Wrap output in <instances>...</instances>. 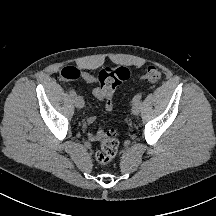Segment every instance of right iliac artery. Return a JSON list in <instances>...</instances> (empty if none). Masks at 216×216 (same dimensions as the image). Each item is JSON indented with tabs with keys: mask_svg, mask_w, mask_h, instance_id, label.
<instances>
[{
	"mask_svg": "<svg viewBox=\"0 0 216 216\" xmlns=\"http://www.w3.org/2000/svg\"><path fill=\"white\" fill-rule=\"evenodd\" d=\"M69 93H70V95H71L72 97H75V96H76V92H75L74 90H70Z\"/></svg>",
	"mask_w": 216,
	"mask_h": 216,
	"instance_id": "82829eb1",
	"label": "right iliac artery"
}]
</instances>
